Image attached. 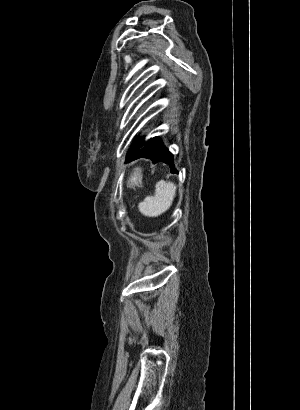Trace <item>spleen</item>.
<instances>
[{
    "instance_id": "1",
    "label": "spleen",
    "mask_w": 300,
    "mask_h": 410,
    "mask_svg": "<svg viewBox=\"0 0 300 410\" xmlns=\"http://www.w3.org/2000/svg\"><path fill=\"white\" fill-rule=\"evenodd\" d=\"M141 179L142 176L139 170L136 169L130 179V185H138ZM155 188V194L147 196L138 206L139 211L145 216L154 217L164 213L170 208L175 197L176 185L172 182L161 180L156 184Z\"/></svg>"
}]
</instances>
